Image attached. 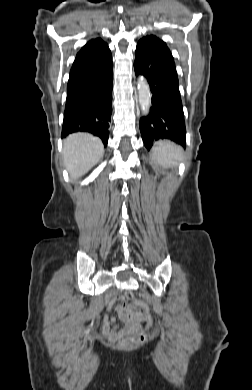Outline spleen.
Masks as SVG:
<instances>
[{
  "label": "spleen",
  "instance_id": "spleen-1",
  "mask_svg": "<svg viewBox=\"0 0 252 390\" xmlns=\"http://www.w3.org/2000/svg\"><path fill=\"white\" fill-rule=\"evenodd\" d=\"M183 150L169 141H159L153 148V158L163 166L176 165L182 157Z\"/></svg>",
  "mask_w": 252,
  "mask_h": 390
}]
</instances>
